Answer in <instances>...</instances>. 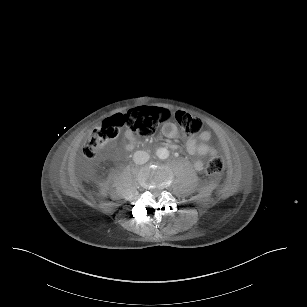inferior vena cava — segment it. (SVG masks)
I'll use <instances>...</instances> for the list:
<instances>
[{"instance_id": "602c4592", "label": "inferior vena cava", "mask_w": 307, "mask_h": 307, "mask_svg": "<svg viewBox=\"0 0 307 307\" xmlns=\"http://www.w3.org/2000/svg\"><path fill=\"white\" fill-rule=\"evenodd\" d=\"M133 160L136 164H145L150 160V154L146 151H136L133 155Z\"/></svg>"}]
</instances>
